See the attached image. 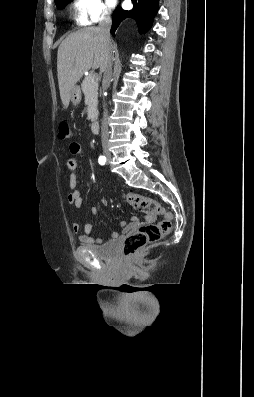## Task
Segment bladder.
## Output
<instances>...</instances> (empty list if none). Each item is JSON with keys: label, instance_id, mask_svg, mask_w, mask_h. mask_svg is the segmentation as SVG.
I'll list each match as a JSON object with an SVG mask.
<instances>
[{"label": "bladder", "instance_id": "bladder-1", "mask_svg": "<svg viewBox=\"0 0 254 397\" xmlns=\"http://www.w3.org/2000/svg\"><path fill=\"white\" fill-rule=\"evenodd\" d=\"M87 248L94 255L104 260H114L119 254L118 240H112L102 245H90Z\"/></svg>", "mask_w": 254, "mask_h": 397}]
</instances>
